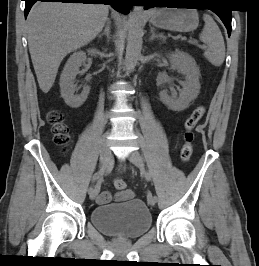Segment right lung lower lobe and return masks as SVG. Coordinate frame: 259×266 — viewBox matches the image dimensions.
<instances>
[{
    "instance_id": "98d812e1",
    "label": "right lung lower lobe",
    "mask_w": 259,
    "mask_h": 266,
    "mask_svg": "<svg viewBox=\"0 0 259 266\" xmlns=\"http://www.w3.org/2000/svg\"><path fill=\"white\" fill-rule=\"evenodd\" d=\"M25 17H27L31 7L37 1L42 2H62V3H84V4H104L112 5L117 11L127 14L131 8V0H24Z\"/></svg>"
}]
</instances>
